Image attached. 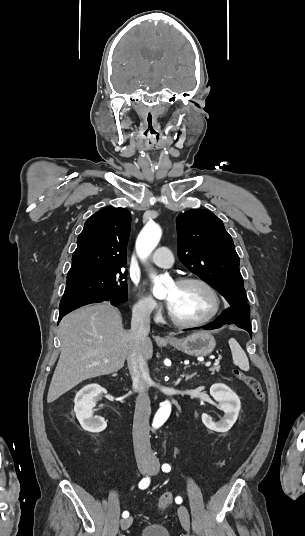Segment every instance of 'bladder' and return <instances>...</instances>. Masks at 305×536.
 <instances>
[{
  "instance_id": "31cf9c89",
  "label": "bladder",
  "mask_w": 305,
  "mask_h": 536,
  "mask_svg": "<svg viewBox=\"0 0 305 536\" xmlns=\"http://www.w3.org/2000/svg\"><path fill=\"white\" fill-rule=\"evenodd\" d=\"M137 536H171L167 526L160 523L147 524Z\"/></svg>"
}]
</instances>
